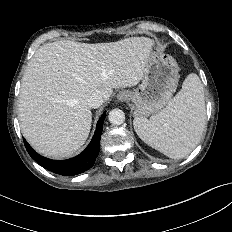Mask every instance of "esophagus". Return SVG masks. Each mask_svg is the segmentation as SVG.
Segmentation results:
<instances>
[{
  "mask_svg": "<svg viewBox=\"0 0 232 232\" xmlns=\"http://www.w3.org/2000/svg\"><path fill=\"white\" fill-rule=\"evenodd\" d=\"M130 98V93L128 91H121L117 94V101L118 102H126Z\"/></svg>",
  "mask_w": 232,
  "mask_h": 232,
  "instance_id": "esophagus-1",
  "label": "esophagus"
}]
</instances>
